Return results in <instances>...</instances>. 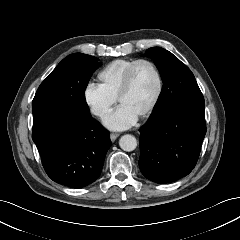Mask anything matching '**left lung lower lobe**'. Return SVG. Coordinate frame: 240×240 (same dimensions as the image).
I'll return each mask as SVG.
<instances>
[{
    "mask_svg": "<svg viewBox=\"0 0 240 240\" xmlns=\"http://www.w3.org/2000/svg\"><path fill=\"white\" fill-rule=\"evenodd\" d=\"M142 174L158 184L171 183L195 167L206 134L204 107L179 105L139 130Z\"/></svg>",
    "mask_w": 240,
    "mask_h": 240,
    "instance_id": "left-lung-lower-lobe-1",
    "label": "left lung lower lobe"
}]
</instances>
